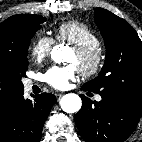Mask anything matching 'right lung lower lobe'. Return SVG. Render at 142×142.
Listing matches in <instances>:
<instances>
[{"label":"right lung lower lobe","instance_id":"obj_1","mask_svg":"<svg viewBox=\"0 0 142 142\" xmlns=\"http://www.w3.org/2000/svg\"><path fill=\"white\" fill-rule=\"evenodd\" d=\"M24 91L9 108L0 123V142H39L42 127L56 102L53 94L42 93L24 98Z\"/></svg>","mask_w":142,"mask_h":142}]
</instances>
